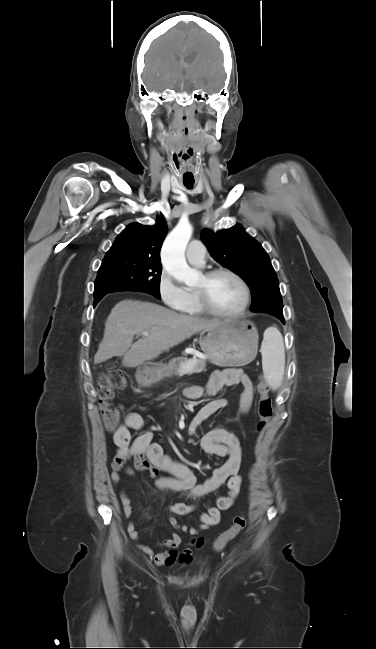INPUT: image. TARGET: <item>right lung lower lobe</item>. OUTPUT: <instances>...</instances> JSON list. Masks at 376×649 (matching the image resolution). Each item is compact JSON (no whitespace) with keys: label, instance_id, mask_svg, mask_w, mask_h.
I'll return each instance as SVG.
<instances>
[{"label":"right lung lower lobe","instance_id":"98d812e1","mask_svg":"<svg viewBox=\"0 0 376 649\" xmlns=\"http://www.w3.org/2000/svg\"><path fill=\"white\" fill-rule=\"evenodd\" d=\"M103 297H104V296H103ZM103 297H102V298H103ZM102 298H101V299H102ZM94 305H96V302H94Z\"/></svg>","mask_w":376,"mask_h":649}]
</instances>
